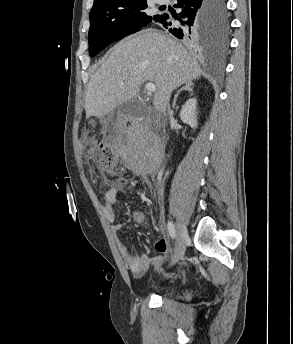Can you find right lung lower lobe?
<instances>
[{
  "label": "right lung lower lobe",
  "mask_w": 293,
  "mask_h": 344,
  "mask_svg": "<svg viewBox=\"0 0 293 344\" xmlns=\"http://www.w3.org/2000/svg\"><path fill=\"white\" fill-rule=\"evenodd\" d=\"M215 4L216 0H177L176 7L182 10L179 16L161 15L155 21L162 23L177 38L210 52L226 43L228 32V22L223 33L217 26Z\"/></svg>",
  "instance_id": "obj_1"
}]
</instances>
